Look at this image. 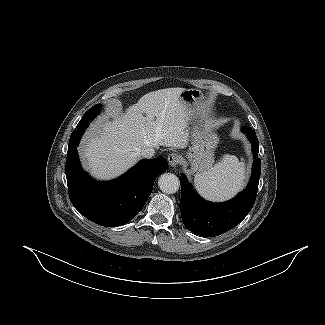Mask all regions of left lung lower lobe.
<instances>
[{"label":"left lung lower lobe","instance_id":"obj_1","mask_svg":"<svg viewBox=\"0 0 325 325\" xmlns=\"http://www.w3.org/2000/svg\"><path fill=\"white\" fill-rule=\"evenodd\" d=\"M252 143L254 162L252 175L246 189L230 201L211 203L198 197L184 174L180 176V210L184 225L193 233L214 237L238 225L252 209L258 190L261 160L258 158V139L254 131L241 129Z\"/></svg>","mask_w":325,"mask_h":325}]
</instances>
